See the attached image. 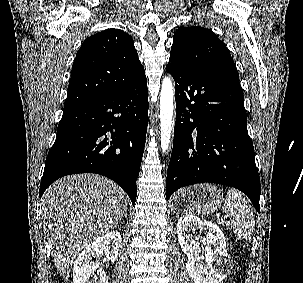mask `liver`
Instances as JSON below:
<instances>
[{
	"instance_id": "obj_1",
	"label": "liver",
	"mask_w": 303,
	"mask_h": 283,
	"mask_svg": "<svg viewBox=\"0 0 303 283\" xmlns=\"http://www.w3.org/2000/svg\"><path fill=\"white\" fill-rule=\"evenodd\" d=\"M43 227L60 276L67 280L79 252L112 230L127 206L125 192L95 174L57 180L43 195Z\"/></svg>"
}]
</instances>
